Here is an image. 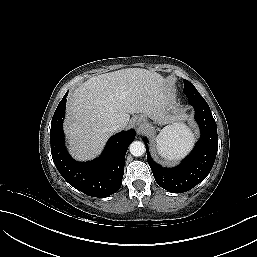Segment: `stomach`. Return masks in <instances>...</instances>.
I'll use <instances>...</instances> for the list:
<instances>
[{"label":"stomach","instance_id":"obj_1","mask_svg":"<svg viewBox=\"0 0 257 257\" xmlns=\"http://www.w3.org/2000/svg\"><path fill=\"white\" fill-rule=\"evenodd\" d=\"M148 115H143V116H141V118L145 121V130L147 131V132H151L152 131V127H151V124L147 121V117ZM149 118H151L152 120H158L159 118H157V117H150V116H148Z\"/></svg>","mask_w":257,"mask_h":257}]
</instances>
